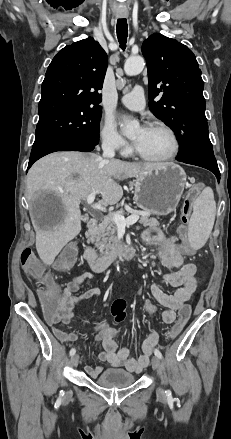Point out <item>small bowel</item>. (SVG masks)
<instances>
[{
    "mask_svg": "<svg viewBox=\"0 0 231 439\" xmlns=\"http://www.w3.org/2000/svg\"><path fill=\"white\" fill-rule=\"evenodd\" d=\"M143 240L148 243H154L158 247V257L161 264L167 269H176L164 274V281L171 287L175 288L172 293L165 292L158 284L151 286L153 297L166 309L162 314L165 323H173L177 317V308L183 303L189 304L195 291L198 288V279L196 278V265L193 263H184L183 253L185 248L177 244L171 235L163 233L160 229L152 227L147 229L143 234ZM93 278L91 272H83L67 282L61 289V300L55 310L56 318L48 320L49 325L55 336L62 342L75 341L78 334L73 332H64L57 328L59 323L68 325L75 318V307L87 300L94 299L101 294L99 288H90L81 294H76L79 288ZM190 305V304H189ZM157 306L149 300L143 303V310L146 314H155ZM191 309V308H190ZM95 340L102 345V351L99 353V359L112 367L123 366L128 371L140 372L149 364V356L152 349L158 344L159 335L152 331L146 337L142 344L143 353L134 358L128 348H117L115 340L116 329L107 322L98 323L94 329ZM86 372L91 377H97L102 371V366H86Z\"/></svg>",
    "mask_w": 231,
    "mask_h": 439,
    "instance_id": "c3829d8e",
    "label": "small bowel"
}]
</instances>
